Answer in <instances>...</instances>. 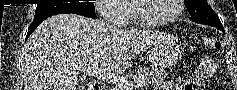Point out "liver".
Segmentation results:
<instances>
[{"label": "liver", "instance_id": "liver-1", "mask_svg": "<svg viewBox=\"0 0 237 90\" xmlns=\"http://www.w3.org/2000/svg\"><path fill=\"white\" fill-rule=\"evenodd\" d=\"M156 40L155 32L117 30L76 14L51 16L24 46V90H89L79 84L78 66L89 74L120 72Z\"/></svg>", "mask_w": 237, "mask_h": 90}]
</instances>
